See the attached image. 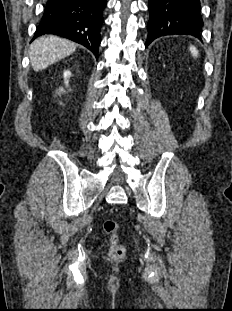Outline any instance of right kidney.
Segmentation results:
<instances>
[{
	"mask_svg": "<svg viewBox=\"0 0 232 311\" xmlns=\"http://www.w3.org/2000/svg\"><path fill=\"white\" fill-rule=\"evenodd\" d=\"M63 76H64V79H65V84L68 85V80H67V78H69V77L71 76V72H70V71H65L64 74H63ZM62 91H63V89L61 88V89H60V92H62Z\"/></svg>",
	"mask_w": 232,
	"mask_h": 311,
	"instance_id": "obj_1",
	"label": "right kidney"
}]
</instances>
